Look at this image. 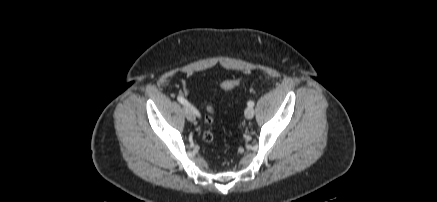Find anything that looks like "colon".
I'll return each instance as SVG.
<instances>
[{"instance_id":"colon-1","label":"colon","mask_w":437,"mask_h":202,"mask_svg":"<svg viewBox=\"0 0 437 202\" xmlns=\"http://www.w3.org/2000/svg\"><path fill=\"white\" fill-rule=\"evenodd\" d=\"M241 81L240 77H234L228 80H225L221 84V89L225 92L232 90L234 87H236ZM213 114H214V107L212 105L208 106V114L205 116V122L207 125H211L213 123ZM203 138L206 142L210 143L214 139V135L210 130H206L203 134Z\"/></svg>"}]
</instances>
